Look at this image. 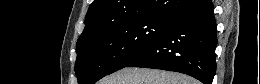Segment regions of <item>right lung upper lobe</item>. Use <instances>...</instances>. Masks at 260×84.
<instances>
[{
	"label": "right lung upper lobe",
	"mask_w": 260,
	"mask_h": 84,
	"mask_svg": "<svg viewBox=\"0 0 260 84\" xmlns=\"http://www.w3.org/2000/svg\"><path fill=\"white\" fill-rule=\"evenodd\" d=\"M200 0H94L85 18L80 45L100 36L111 26L133 18L163 16L173 18Z\"/></svg>",
	"instance_id": "1"
}]
</instances>
